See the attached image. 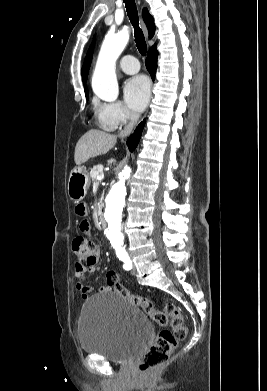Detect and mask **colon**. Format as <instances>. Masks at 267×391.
<instances>
[{
  "label": "colon",
  "mask_w": 267,
  "mask_h": 391,
  "mask_svg": "<svg viewBox=\"0 0 267 391\" xmlns=\"http://www.w3.org/2000/svg\"><path fill=\"white\" fill-rule=\"evenodd\" d=\"M72 251L76 257V264L79 266H89L97 262V245L91 238L75 237L72 242ZM106 283L118 294L142 308L156 324L161 327L169 324L171 327L170 330L162 329L158 332L154 343L140 361L139 370L147 376L165 364L177 348L179 341L186 337L187 328L183 316L174 304H165L163 309L159 310L148 298L129 291L119 283L118 275L114 271L107 272Z\"/></svg>",
  "instance_id": "colon-1"
}]
</instances>
